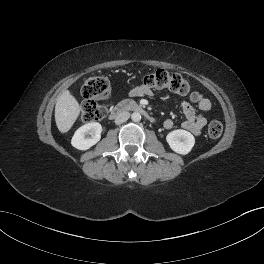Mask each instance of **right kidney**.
I'll list each match as a JSON object with an SVG mask.
<instances>
[{"label":"right kidney","instance_id":"1","mask_svg":"<svg viewBox=\"0 0 264 264\" xmlns=\"http://www.w3.org/2000/svg\"><path fill=\"white\" fill-rule=\"evenodd\" d=\"M102 126L98 122H91L81 126L72 137L71 144L79 150H87L100 141ZM90 134L91 137L85 136Z\"/></svg>","mask_w":264,"mask_h":264}]
</instances>
